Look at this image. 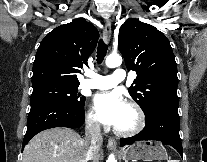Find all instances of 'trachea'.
<instances>
[{"label": "trachea", "mask_w": 207, "mask_h": 162, "mask_svg": "<svg viewBox=\"0 0 207 162\" xmlns=\"http://www.w3.org/2000/svg\"><path fill=\"white\" fill-rule=\"evenodd\" d=\"M108 46L100 39L97 47V62L102 63L104 57L106 56Z\"/></svg>", "instance_id": "obj_1"}]
</instances>
